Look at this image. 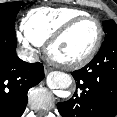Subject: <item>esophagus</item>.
<instances>
[{
	"instance_id": "34e87169",
	"label": "esophagus",
	"mask_w": 117,
	"mask_h": 117,
	"mask_svg": "<svg viewBox=\"0 0 117 117\" xmlns=\"http://www.w3.org/2000/svg\"><path fill=\"white\" fill-rule=\"evenodd\" d=\"M52 69L49 66H45L44 72L45 74L49 73Z\"/></svg>"
}]
</instances>
